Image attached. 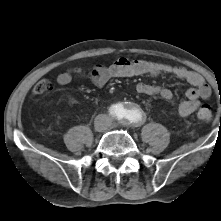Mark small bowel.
Listing matches in <instances>:
<instances>
[{
	"mask_svg": "<svg viewBox=\"0 0 221 221\" xmlns=\"http://www.w3.org/2000/svg\"><path fill=\"white\" fill-rule=\"evenodd\" d=\"M86 71L81 67L67 69L58 74L56 80L59 85L69 84L74 75H84ZM168 74L180 80L188 82L192 87L185 92L186 100L178 105V113L182 117L195 113L200 106V100L211 95V89L205 79L195 71L182 66L158 63L150 60H131L126 57L116 59L110 65H96L89 72L90 81L97 87L105 86L114 78L134 77L140 75L156 76ZM133 91L137 94L159 96L165 100H171L173 93L170 89L146 83L134 86Z\"/></svg>",
	"mask_w": 221,
	"mask_h": 221,
	"instance_id": "obj_1",
	"label": "small bowel"
}]
</instances>
